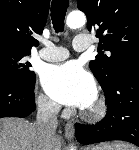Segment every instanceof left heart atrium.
Segmentation results:
<instances>
[{
  "mask_svg": "<svg viewBox=\"0 0 139 150\" xmlns=\"http://www.w3.org/2000/svg\"><path fill=\"white\" fill-rule=\"evenodd\" d=\"M41 82L46 93L61 104L89 108L97 97L93 77L76 62L46 68Z\"/></svg>",
  "mask_w": 139,
  "mask_h": 150,
  "instance_id": "left-heart-atrium-1",
  "label": "left heart atrium"
}]
</instances>
